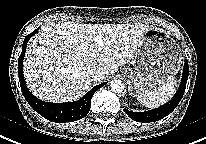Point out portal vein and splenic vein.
<instances>
[{"label":"portal vein and splenic vein","instance_id":"portal-vein-and-splenic-vein-1","mask_svg":"<svg viewBox=\"0 0 206 144\" xmlns=\"http://www.w3.org/2000/svg\"><path fill=\"white\" fill-rule=\"evenodd\" d=\"M96 41H97V43H98L100 46H103L102 36H97V37H96Z\"/></svg>","mask_w":206,"mask_h":144}]
</instances>
